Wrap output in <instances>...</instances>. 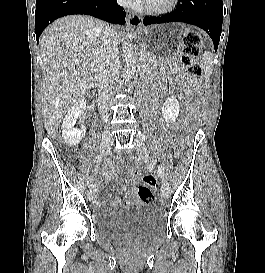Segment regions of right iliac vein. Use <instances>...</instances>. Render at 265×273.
Masks as SVG:
<instances>
[{
	"mask_svg": "<svg viewBox=\"0 0 265 273\" xmlns=\"http://www.w3.org/2000/svg\"><path fill=\"white\" fill-rule=\"evenodd\" d=\"M113 137L111 134H104L102 136V139H101V144H100V151L101 153H104L106 150H108L110 148V146L113 144ZM96 188L97 186H93L90 188L89 192H88V199L90 201L94 200L95 199V196H96Z\"/></svg>",
	"mask_w": 265,
	"mask_h": 273,
	"instance_id": "1",
	"label": "right iliac vein"
}]
</instances>
